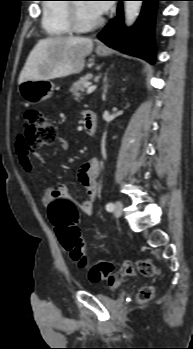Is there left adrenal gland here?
Instances as JSON below:
<instances>
[{"instance_id": "1", "label": "left adrenal gland", "mask_w": 193, "mask_h": 349, "mask_svg": "<svg viewBox=\"0 0 193 349\" xmlns=\"http://www.w3.org/2000/svg\"><path fill=\"white\" fill-rule=\"evenodd\" d=\"M107 88H108V85L106 84V85L104 86V94H103V98H105V94H106V92H107Z\"/></svg>"}]
</instances>
